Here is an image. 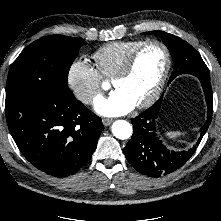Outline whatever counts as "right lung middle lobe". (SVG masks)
Listing matches in <instances>:
<instances>
[{
	"instance_id": "1",
	"label": "right lung middle lobe",
	"mask_w": 221,
	"mask_h": 221,
	"mask_svg": "<svg viewBox=\"0 0 221 221\" xmlns=\"http://www.w3.org/2000/svg\"><path fill=\"white\" fill-rule=\"evenodd\" d=\"M83 45L84 40L63 35L46 36L31 43L10 67L6 97L70 92L68 72Z\"/></svg>"
}]
</instances>
